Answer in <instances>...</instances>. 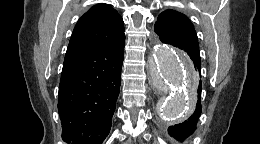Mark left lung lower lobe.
Masks as SVG:
<instances>
[{
	"label": "left lung lower lobe",
	"mask_w": 260,
	"mask_h": 144,
	"mask_svg": "<svg viewBox=\"0 0 260 144\" xmlns=\"http://www.w3.org/2000/svg\"><path fill=\"white\" fill-rule=\"evenodd\" d=\"M166 44H172L182 50H184L191 58V60L194 62H198L200 59V53H199V45L195 43L190 42H184V41H168L163 42ZM195 67V66H194ZM197 93V103L195 106L194 112L182 123L172 125L168 128V133L176 138L178 141H184L188 136L193 134V132L196 130V125L198 122V119L201 115V83L199 84V87L197 91H194V94Z\"/></svg>",
	"instance_id": "obj_1"
}]
</instances>
